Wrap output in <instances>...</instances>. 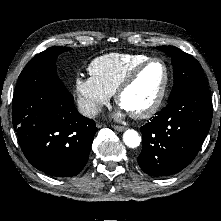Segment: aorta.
I'll return each instance as SVG.
<instances>
[{
  "label": "aorta",
  "mask_w": 221,
  "mask_h": 221,
  "mask_svg": "<svg viewBox=\"0 0 221 221\" xmlns=\"http://www.w3.org/2000/svg\"><path fill=\"white\" fill-rule=\"evenodd\" d=\"M123 141L126 146L130 148H136L137 146H139L141 138L137 131L133 129H128L123 134Z\"/></svg>",
  "instance_id": "1"
}]
</instances>
